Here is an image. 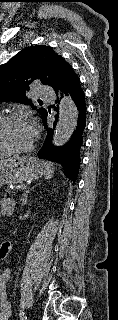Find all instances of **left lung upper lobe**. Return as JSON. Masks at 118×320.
Instances as JSON below:
<instances>
[{
  "label": "left lung upper lobe",
  "instance_id": "5c2ea615",
  "mask_svg": "<svg viewBox=\"0 0 118 320\" xmlns=\"http://www.w3.org/2000/svg\"><path fill=\"white\" fill-rule=\"evenodd\" d=\"M73 68L49 46L28 47L0 66V101H16L31 105L25 95L34 80L51 86L55 91L66 80ZM41 117L47 111L39 108Z\"/></svg>",
  "mask_w": 118,
  "mask_h": 320
}]
</instances>
